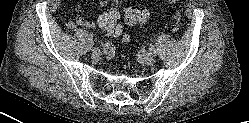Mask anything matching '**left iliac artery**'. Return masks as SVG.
I'll use <instances>...</instances> for the list:
<instances>
[{
  "label": "left iliac artery",
  "mask_w": 249,
  "mask_h": 123,
  "mask_svg": "<svg viewBox=\"0 0 249 123\" xmlns=\"http://www.w3.org/2000/svg\"><path fill=\"white\" fill-rule=\"evenodd\" d=\"M149 50H150V53L152 54V55H154V56H156V49L153 47V46H151L150 48H149Z\"/></svg>",
  "instance_id": "1"
}]
</instances>
